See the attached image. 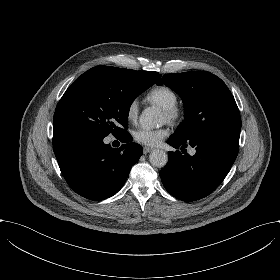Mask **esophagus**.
I'll return each mask as SVG.
<instances>
[{
    "mask_svg": "<svg viewBox=\"0 0 280 280\" xmlns=\"http://www.w3.org/2000/svg\"><path fill=\"white\" fill-rule=\"evenodd\" d=\"M152 151V148H150V147H144L143 148V153L144 154H148L149 152H151Z\"/></svg>",
    "mask_w": 280,
    "mask_h": 280,
    "instance_id": "obj_1",
    "label": "esophagus"
}]
</instances>
